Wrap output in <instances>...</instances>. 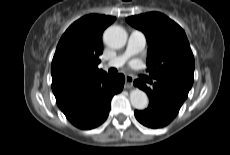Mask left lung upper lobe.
<instances>
[{"mask_svg":"<svg viewBox=\"0 0 230 155\" xmlns=\"http://www.w3.org/2000/svg\"><path fill=\"white\" fill-rule=\"evenodd\" d=\"M147 39V67L157 82L189 93L194 80V56L184 30L159 12L126 18Z\"/></svg>","mask_w":230,"mask_h":155,"instance_id":"1","label":"left lung upper lobe"}]
</instances>
